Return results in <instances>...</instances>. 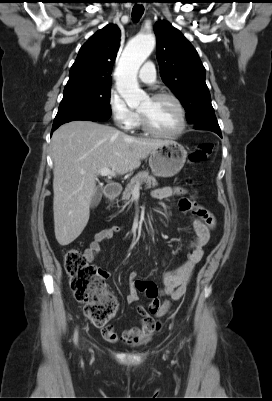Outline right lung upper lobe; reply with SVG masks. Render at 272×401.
<instances>
[{
	"label": "right lung upper lobe",
	"mask_w": 272,
	"mask_h": 401,
	"mask_svg": "<svg viewBox=\"0 0 272 401\" xmlns=\"http://www.w3.org/2000/svg\"><path fill=\"white\" fill-rule=\"evenodd\" d=\"M120 46V30L109 24L80 48L64 91L111 83V70Z\"/></svg>",
	"instance_id": "1"
}]
</instances>
